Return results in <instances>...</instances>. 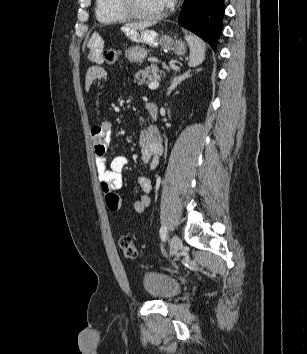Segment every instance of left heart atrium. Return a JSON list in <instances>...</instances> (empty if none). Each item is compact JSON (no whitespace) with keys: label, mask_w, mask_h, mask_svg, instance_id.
I'll return each mask as SVG.
<instances>
[{"label":"left heart atrium","mask_w":307,"mask_h":354,"mask_svg":"<svg viewBox=\"0 0 307 354\" xmlns=\"http://www.w3.org/2000/svg\"><path fill=\"white\" fill-rule=\"evenodd\" d=\"M173 0H161L162 6H168L172 3Z\"/></svg>","instance_id":"left-heart-atrium-1"}]
</instances>
